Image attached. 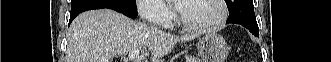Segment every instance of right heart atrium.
<instances>
[{
  "instance_id": "1",
  "label": "right heart atrium",
  "mask_w": 331,
  "mask_h": 62,
  "mask_svg": "<svg viewBox=\"0 0 331 62\" xmlns=\"http://www.w3.org/2000/svg\"><path fill=\"white\" fill-rule=\"evenodd\" d=\"M137 9L144 19L158 26L169 27L174 20L173 11L163 0L137 1Z\"/></svg>"
}]
</instances>
